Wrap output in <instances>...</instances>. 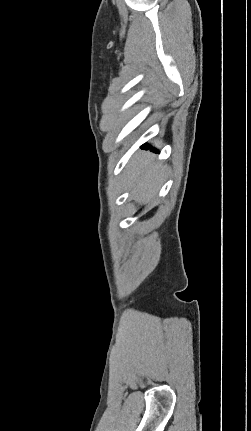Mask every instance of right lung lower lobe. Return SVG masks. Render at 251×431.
<instances>
[{
	"label": "right lung lower lobe",
	"instance_id": "1",
	"mask_svg": "<svg viewBox=\"0 0 251 431\" xmlns=\"http://www.w3.org/2000/svg\"><path fill=\"white\" fill-rule=\"evenodd\" d=\"M142 148H144V149H148V148H149V146H148V145H143V146H142Z\"/></svg>",
	"mask_w": 251,
	"mask_h": 431
}]
</instances>
